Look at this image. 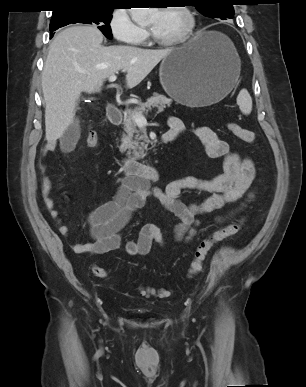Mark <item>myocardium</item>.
Segmentation results:
<instances>
[{"instance_id": "1", "label": "myocardium", "mask_w": 306, "mask_h": 387, "mask_svg": "<svg viewBox=\"0 0 306 387\" xmlns=\"http://www.w3.org/2000/svg\"><path fill=\"white\" fill-rule=\"evenodd\" d=\"M168 8H175L180 10L187 18V24L184 29V31L177 37L172 38V39H160L158 38L153 31L150 32V37L152 41L160 46H174V45H179L182 43H185L186 41L189 40V38L192 36L195 27H196V15L194 11L187 5H179V6H166L161 9H168Z\"/></svg>"}]
</instances>
